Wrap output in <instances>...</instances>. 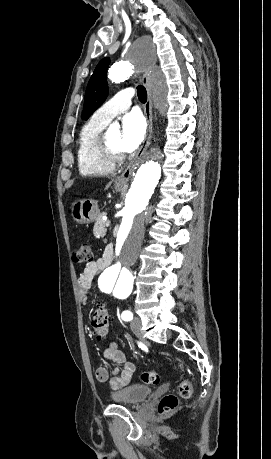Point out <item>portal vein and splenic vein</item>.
I'll use <instances>...</instances> for the list:
<instances>
[{"instance_id": "obj_1", "label": "portal vein and splenic vein", "mask_w": 271, "mask_h": 459, "mask_svg": "<svg viewBox=\"0 0 271 459\" xmlns=\"http://www.w3.org/2000/svg\"><path fill=\"white\" fill-rule=\"evenodd\" d=\"M110 223V221H107V223L105 224L107 228L109 227Z\"/></svg>"}]
</instances>
